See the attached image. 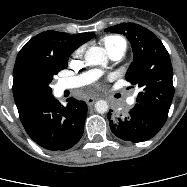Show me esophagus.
<instances>
[{"instance_id":"1","label":"esophagus","mask_w":187,"mask_h":187,"mask_svg":"<svg viewBox=\"0 0 187 187\" xmlns=\"http://www.w3.org/2000/svg\"><path fill=\"white\" fill-rule=\"evenodd\" d=\"M96 100H97L96 98L89 97L86 99V103H87V105L91 106L95 103Z\"/></svg>"}]
</instances>
